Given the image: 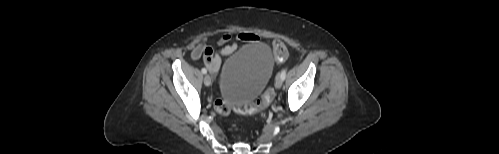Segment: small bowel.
I'll list each match as a JSON object with an SVG mask.
<instances>
[{"instance_id":"small-bowel-1","label":"small bowel","mask_w":499,"mask_h":154,"mask_svg":"<svg viewBox=\"0 0 499 154\" xmlns=\"http://www.w3.org/2000/svg\"><path fill=\"white\" fill-rule=\"evenodd\" d=\"M259 36L249 32H241L236 36L224 34L217 42L219 50L215 52L209 61H205V65L210 72H217L222 63V57L232 54L237 49L238 42H257Z\"/></svg>"}]
</instances>
